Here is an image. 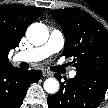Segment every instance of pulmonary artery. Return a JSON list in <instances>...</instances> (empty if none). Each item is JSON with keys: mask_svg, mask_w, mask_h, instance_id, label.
I'll return each mask as SVG.
<instances>
[{"mask_svg": "<svg viewBox=\"0 0 108 108\" xmlns=\"http://www.w3.org/2000/svg\"><path fill=\"white\" fill-rule=\"evenodd\" d=\"M64 45V37L62 33L58 30L51 32L50 38L46 44L40 47L30 49L28 51L20 52L16 55V60L27 61V62H37L41 61L48 56L59 52ZM76 76V71L72 70L69 72V77L74 78Z\"/></svg>", "mask_w": 108, "mask_h": 108, "instance_id": "obj_1", "label": "pulmonary artery"}]
</instances>
